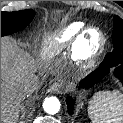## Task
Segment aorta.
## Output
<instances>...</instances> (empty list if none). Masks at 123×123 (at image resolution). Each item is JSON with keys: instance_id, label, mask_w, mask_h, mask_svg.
Instances as JSON below:
<instances>
[{"instance_id": "aorta-1", "label": "aorta", "mask_w": 123, "mask_h": 123, "mask_svg": "<svg viewBox=\"0 0 123 123\" xmlns=\"http://www.w3.org/2000/svg\"><path fill=\"white\" fill-rule=\"evenodd\" d=\"M43 109L48 114H56L60 110V101L56 97H48L43 102Z\"/></svg>"}]
</instances>
